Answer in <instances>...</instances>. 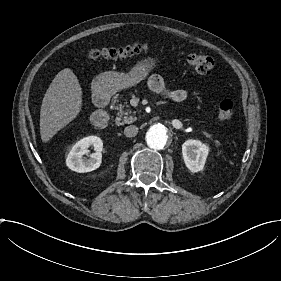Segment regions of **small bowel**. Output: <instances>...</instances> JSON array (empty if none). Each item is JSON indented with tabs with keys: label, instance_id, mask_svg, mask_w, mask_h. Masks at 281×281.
Listing matches in <instances>:
<instances>
[{
	"label": "small bowel",
	"instance_id": "small-bowel-1",
	"mask_svg": "<svg viewBox=\"0 0 281 281\" xmlns=\"http://www.w3.org/2000/svg\"><path fill=\"white\" fill-rule=\"evenodd\" d=\"M149 87L157 94L164 96L174 102H183L187 99V91L184 89H170L166 82L157 74H153L148 79Z\"/></svg>",
	"mask_w": 281,
	"mask_h": 281
}]
</instances>
